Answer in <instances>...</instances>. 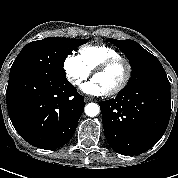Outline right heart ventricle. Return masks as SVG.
<instances>
[{
    "label": "right heart ventricle",
    "mask_w": 178,
    "mask_h": 178,
    "mask_svg": "<svg viewBox=\"0 0 178 178\" xmlns=\"http://www.w3.org/2000/svg\"><path fill=\"white\" fill-rule=\"evenodd\" d=\"M121 56L120 53L107 45H87L79 50L78 57L89 72L94 71L109 58Z\"/></svg>",
    "instance_id": "e07e8e85"
}]
</instances>
